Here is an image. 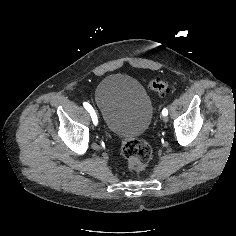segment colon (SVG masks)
<instances>
[{
	"label": "colon",
	"instance_id": "obj_1",
	"mask_svg": "<svg viewBox=\"0 0 236 236\" xmlns=\"http://www.w3.org/2000/svg\"><path fill=\"white\" fill-rule=\"evenodd\" d=\"M149 85L159 94H166L169 91V83L161 79H154ZM121 147L127 167L131 171L140 172L147 167L152 157V149L147 142L128 138L122 141Z\"/></svg>",
	"mask_w": 236,
	"mask_h": 236
}]
</instances>
